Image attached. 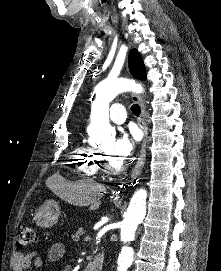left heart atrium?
<instances>
[{
    "instance_id": "obj_1",
    "label": "left heart atrium",
    "mask_w": 221,
    "mask_h": 271,
    "mask_svg": "<svg viewBox=\"0 0 221 271\" xmlns=\"http://www.w3.org/2000/svg\"><path fill=\"white\" fill-rule=\"evenodd\" d=\"M141 137V132L136 130L123 133L121 142H113L111 157H131V152L135 149L136 143L141 140Z\"/></svg>"
}]
</instances>
